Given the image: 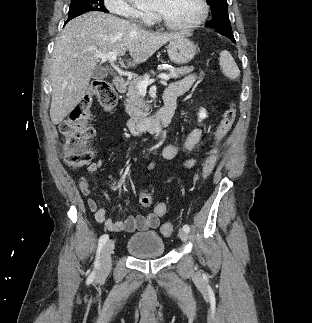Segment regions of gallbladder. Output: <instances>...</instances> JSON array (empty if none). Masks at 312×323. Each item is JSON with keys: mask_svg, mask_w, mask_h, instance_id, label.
<instances>
[{"mask_svg": "<svg viewBox=\"0 0 312 323\" xmlns=\"http://www.w3.org/2000/svg\"><path fill=\"white\" fill-rule=\"evenodd\" d=\"M91 76L92 78H95V80H101V78H107L108 72L106 68H102V66H95Z\"/></svg>", "mask_w": 312, "mask_h": 323, "instance_id": "bac80fb5", "label": "gallbladder"}]
</instances>
